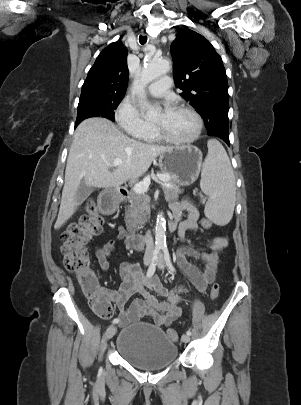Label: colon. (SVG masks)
Wrapping results in <instances>:
<instances>
[{
	"label": "colon",
	"mask_w": 301,
	"mask_h": 405,
	"mask_svg": "<svg viewBox=\"0 0 301 405\" xmlns=\"http://www.w3.org/2000/svg\"><path fill=\"white\" fill-rule=\"evenodd\" d=\"M104 222L105 219L99 213L96 205L93 202L87 203L85 213L79 222L71 224L62 233L61 252L65 268L76 276L92 310L99 316L107 318L111 315L112 310L100 289L98 278L91 268L86 248L92 238L102 233ZM200 224L204 229L212 226V223L206 218H203ZM219 291V285L213 284L210 291L211 298L216 299ZM167 334L172 341H177L179 338L178 332L174 329H168Z\"/></svg>",
	"instance_id": "colon-1"
}]
</instances>
